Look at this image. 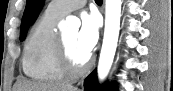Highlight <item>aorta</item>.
Wrapping results in <instances>:
<instances>
[{
    "label": "aorta",
    "instance_id": "762f6f07",
    "mask_svg": "<svg viewBox=\"0 0 173 91\" xmlns=\"http://www.w3.org/2000/svg\"><path fill=\"white\" fill-rule=\"evenodd\" d=\"M105 4V30L98 63V78L100 81L105 80L107 77L116 52L120 30L122 0H106ZM65 24L69 27H74L79 26L80 21L76 18L69 17Z\"/></svg>",
    "mask_w": 173,
    "mask_h": 91
}]
</instances>
